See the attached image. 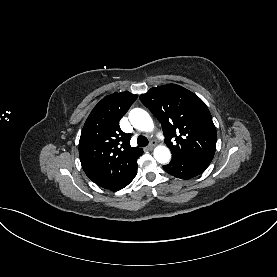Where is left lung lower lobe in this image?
I'll return each mask as SVG.
<instances>
[{
  "instance_id": "1",
  "label": "left lung lower lobe",
  "mask_w": 277,
  "mask_h": 277,
  "mask_svg": "<svg viewBox=\"0 0 277 277\" xmlns=\"http://www.w3.org/2000/svg\"><path fill=\"white\" fill-rule=\"evenodd\" d=\"M212 159L202 157L173 156L164 170L181 179H190L201 174L211 163Z\"/></svg>"
}]
</instances>
